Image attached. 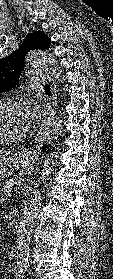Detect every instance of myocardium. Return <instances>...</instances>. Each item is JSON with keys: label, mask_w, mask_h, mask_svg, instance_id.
Listing matches in <instances>:
<instances>
[{"label": "myocardium", "mask_w": 113, "mask_h": 279, "mask_svg": "<svg viewBox=\"0 0 113 279\" xmlns=\"http://www.w3.org/2000/svg\"><path fill=\"white\" fill-rule=\"evenodd\" d=\"M10 104L15 106H24V102L16 98H0V105ZM29 134V129H27L23 134L16 137H2L0 136V144H11L18 143L24 140Z\"/></svg>", "instance_id": "obj_1"}]
</instances>
